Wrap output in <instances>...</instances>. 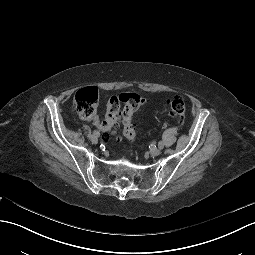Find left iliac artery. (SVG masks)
Masks as SVG:
<instances>
[{
  "mask_svg": "<svg viewBox=\"0 0 255 255\" xmlns=\"http://www.w3.org/2000/svg\"><path fill=\"white\" fill-rule=\"evenodd\" d=\"M158 147H159L160 149H162V148L164 147V144H163V142H162V141H159V143H158Z\"/></svg>",
  "mask_w": 255,
  "mask_h": 255,
  "instance_id": "1",
  "label": "left iliac artery"
}]
</instances>
